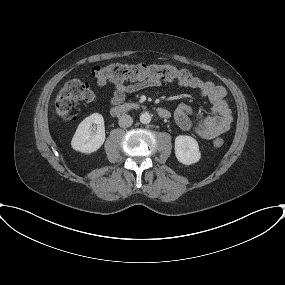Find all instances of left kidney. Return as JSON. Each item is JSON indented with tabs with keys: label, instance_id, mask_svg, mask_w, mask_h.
<instances>
[{
	"label": "left kidney",
	"instance_id": "5707ae66",
	"mask_svg": "<svg viewBox=\"0 0 285 285\" xmlns=\"http://www.w3.org/2000/svg\"><path fill=\"white\" fill-rule=\"evenodd\" d=\"M175 155L178 161L184 165L197 163L201 158L197 141L187 135H179L176 137Z\"/></svg>",
	"mask_w": 285,
	"mask_h": 285
}]
</instances>
